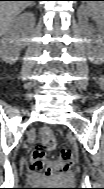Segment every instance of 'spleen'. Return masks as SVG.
Instances as JSON below:
<instances>
[{"mask_svg":"<svg viewBox=\"0 0 104 189\" xmlns=\"http://www.w3.org/2000/svg\"><path fill=\"white\" fill-rule=\"evenodd\" d=\"M88 6L94 10H99L103 8V2L101 1H89L87 2Z\"/></svg>","mask_w":104,"mask_h":189,"instance_id":"spleen-1","label":"spleen"}]
</instances>
